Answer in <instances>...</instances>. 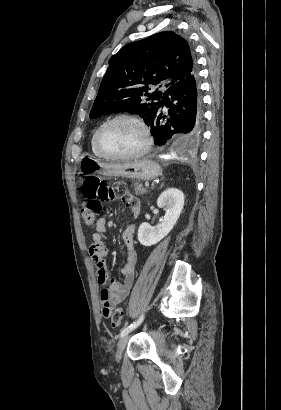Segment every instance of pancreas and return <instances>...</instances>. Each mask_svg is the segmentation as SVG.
I'll list each match as a JSON object with an SVG mask.
<instances>
[{"instance_id": "pancreas-1", "label": "pancreas", "mask_w": 281, "mask_h": 410, "mask_svg": "<svg viewBox=\"0 0 281 410\" xmlns=\"http://www.w3.org/2000/svg\"><path fill=\"white\" fill-rule=\"evenodd\" d=\"M133 187H134L135 194L137 195L147 193V189L144 188L141 183L136 182L133 184Z\"/></svg>"}]
</instances>
